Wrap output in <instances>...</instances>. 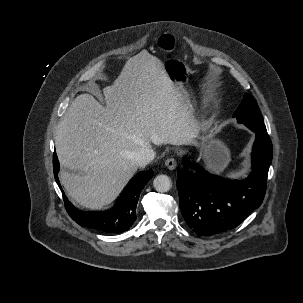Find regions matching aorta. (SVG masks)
I'll list each match as a JSON object with an SVG mask.
<instances>
[{
  "mask_svg": "<svg viewBox=\"0 0 303 303\" xmlns=\"http://www.w3.org/2000/svg\"><path fill=\"white\" fill-rule=\"evenodd\" d=\"M153 186L158 192H167L171 188V180L167 175H158L153 180Z\"/></svg>",
  "mask_w": 303,
  "mask_h": 303,
  "instance_id": "1",
  "label": "aorta"
}]
</instances>
